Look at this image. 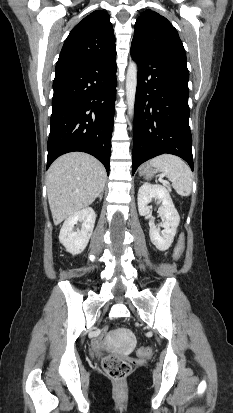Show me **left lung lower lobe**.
I'll return each instance as SVG.
<instances>
[{"label": "left lung lower lobe", "mask_w": 233, "mask_h": 413, "mask_svg": "<svg viewBox=\"0 0 233 413\" xmlns=\"http://www.w3.org/2000/svg\"><path fill=\"white\" fill-rule=\"evenodd\" d=\"M130 53L139 64L132 174L143 162L164 153L183 158L193 171L188 70L132 46Z\"/></svg>", "instance_id": "left-lung-lower-lobe-1"}]
</instances>
